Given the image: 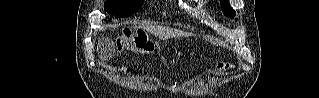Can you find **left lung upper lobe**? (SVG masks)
<instances>
[{
    "mask_svg": "<svg viewBox=\"0 0 319 98\" xmlns=\"http://www.w3.org/2000/svg\"><path fill=\"white\" fill-rule=\"evenodd\" d=\"M223 13L230 18H234L235 11L231 8L228 0H220Z\"/></svg>",
    "mask_w": 319,
    "mask_h": 98,
    "instance_id": "obj_1",
    "label": "left lung upper lobe"
}]
</instances>
